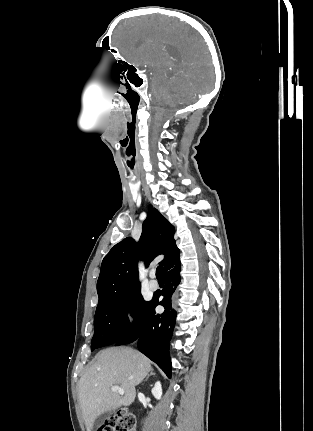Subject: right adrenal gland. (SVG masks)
I'll return each instance as SVG.
<instances>
[{
    "mask_svg": "<svg viewBox=\"0 0 313 431\" xmlns=\"http://www.w3.org/2000/svg\"><path fill=\"white\" fill-rule=\"evenodd\" d=\"M154 375L155 373L153 372V369H151L150 373L146 376V378L143 381H147L150 376H154Z\"/></svg>",
    "mask_w": 313,
    "mask_h": 431,
    "instance_id": "2a0ac1e0",
    "label": "right adrenal gland"
}]
</instances>
